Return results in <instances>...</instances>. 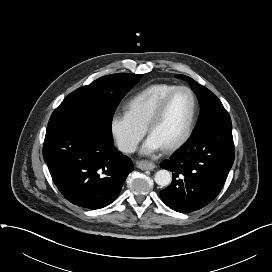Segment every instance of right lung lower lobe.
I'll return each mask as SVG.
<instances>
[{
	"label": "right lung lower lobe",
	"mask_w": 272,
	"mask_h": 272,
	"mask_svg": "<svg viewBox=\"0 0 272 272\" xmlns=\"http://www.w3.org/2000/svg\"><path fill=\"white\" fill-rule=\"evenodd\" d=\"M43 157L53 181L71 203L100 209L119 195L133 163L99 130L71 126L47 133Z\"/></svg>",
	"instance_id": "1"
}]
</instances>
